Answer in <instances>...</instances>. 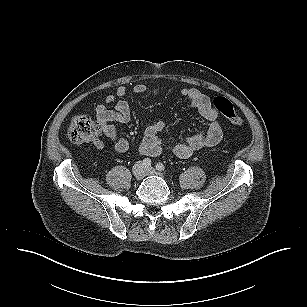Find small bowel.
<instances>
[{"label":"small bowel","instance_id":"c3829d8e","mask_svg":"<svg viewBox=\"0 0 307 307\" xmlns=\"http://www.w3.org/2000/svg\"><path fill=\"white\" fill-rule=\"evenodd\" d=\"M147 91L157 93V87H148L137 84L132 88L133 94H143ZM127 94L125 86H119L114 95H108L104 103L96 106L95 114L105 137L114 142V149L118 153L128 151L130 144L126 138L119 137L117 124H126L131 119L129 104L123 100ZM180 96L184 98L191 108L198 111L206 120L204 131L189 136L184 142L171 145V152L179 158H188L193 153L204 148L216 146L222 139V129L218 122V111L214 108L211 99L195 88L184 87L180 90ZM164 129V123L155 121L148 125L139 143V152L148 157L158 156L163 151V141L159 137ZM98 149H103L105 143L102 139L93 142Z\"/></svg>","mask_w":307,"mask_h":307}]
</instances>
